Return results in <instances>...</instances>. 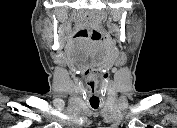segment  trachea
Returning a JSON list of instances; mask_svg holds the SVG:
<instances>
[{
	"label": "trachea",
	"instance_id": "trachea-1",
	"mask_svg": "<svg viewBox=\"0 0 177 128\" xmlns=\"http://www.w3.org/2000/svg\"><path fill=\"white\" fill-rule=\"evenodd\" d=\"M94 109H97L98 107L97 106H92Z\"/></svg>",
	"mask_w": 177,
	"mask_h": 128
}]
</instances>
